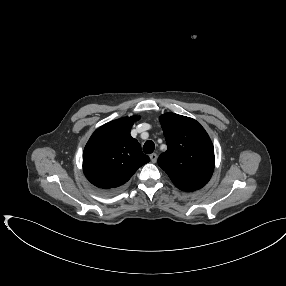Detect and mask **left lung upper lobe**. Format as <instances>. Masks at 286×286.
Listing matches in <instances>:
<instances>
[{"label":"left lung upper lobe","instance_id":"left-lung-upper-lobe-1","mask_svg":"<svg viewBox=\"0 0 286 286\" xmlns=\"http://www.w3.org/2000/svg\"><path fill=\"white\" fill-rule=\"evenodd\" d=\"M160 123L168 149L159 156V166L182 191L205 186L215 165L214 147L205 129L196 120L174 113L163 114Z\"/></svg>","mask_w":286,"mask_h":286}]
</instances>
